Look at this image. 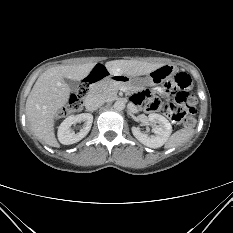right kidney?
Here are the masks:
<instances>
[{
    "label": "right kidney",
    "instance_id": "ca27d5eb",
    "mask_svg": "<svg viewBox=\"0 0 233 233\" xmlns=\"http://www.w3.org/2000/svg\"><path fill=\"white\" fill-rule=\"evenodd\" d=\"M84 122L80 132L75 133L71 129L73 124ZM93 122V115L90 113H82L67 117L58 128V139L64 145L74 144L82 140L90 131Z\"/></svg>",
    "mask_w": 233,
    "mask_h": 233
}]
</instances>
